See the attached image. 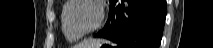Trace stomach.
<instances>
[{
    "instance_id": "obj_1",
    "label": "stomach",
    "mask_w": 213,
    "mask_h": 48,
    "mask_svg": "<svg viewBox=\"0 0 213 48\" xmlns=\"http://www.w3.org/2000/svg\"><path fill=\"white\" fill-rule=\"evenodd\" d=\"M103 46H111V45H110V42L102 40V41H99V42L95 43L93 46H90L88 48H102Z\"/></svg>"
}]
</instances>
